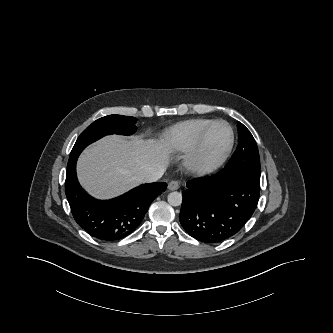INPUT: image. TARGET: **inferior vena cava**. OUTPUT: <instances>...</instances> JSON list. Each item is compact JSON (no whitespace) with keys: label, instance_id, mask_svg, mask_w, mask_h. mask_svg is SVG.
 I'll use <instances>...</instances> for the list:
<instances>
[{"label":"inferior vena cava","instance_id":"inferior-vena-cava-1","mask_svg":"<svg viewBox=\"0 0 333 333\" xmlns=\"http://www.w3.org/2000/svg\"><path fill=\"white\" fill-rule=\"evenodd\" d=\"M164 174V170L162 168L152 169L142 175L139 180L142 182H156L159 180Z\"/></svg>","mask_w":333,"mask_h":333}]
</instances>
